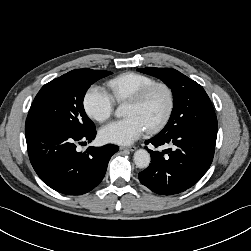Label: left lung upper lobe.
Segmentation results:
<instances>
[{
	"label": "left lung upper lobe",
	"instance_id": "obj_1",
	"mask_svg": "<svg viewBox=\"0 0 251 251\" xmlns=\"http://www.w3.org/2000/svg\"><path fill=\"white\" fill-rule=\"evenodd\" d=\"M138 71L162 80L171 88L174 108L171 117L158 135H164L196 123L193 118L205 104L211 109L210 121L217 122L211 101L205 90L197 82L171 68H139Z\"/></svg>",
	"mask_w": 251,
	"mask_h": 251
}]
</instances>
